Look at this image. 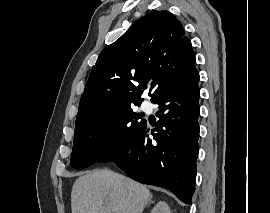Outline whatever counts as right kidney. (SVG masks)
Returning a JSON list of instances; mask_svg holds the SVG:
<instances>
[{
  "mask_svg": "<svg viewBox=\"0 0 270 213\" xmlns=\"http://www.w3.org/2000/svg\"><path fill=\"white\" fill-rule=\"evenodd\" d=\"M151 213H172L168 204L164 201H161L155 205Z\"/></svg>",
  "mask_w": 270,
  "mask_h": 213,
  "instance_id": "ca27d5eb",
  "label": "right kidney"
}]
</instances>
